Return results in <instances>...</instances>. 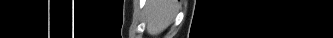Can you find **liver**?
Instances as JSON below:
<instances>
[{"label":"liver","mask_w":333,"mask_h":38,"mask_svg":"<svg viewBox=\"0 0 333 38\" xmlns=\"http://www.w3.org/2000/svg\"><path fill=\"white\" fill-rule=\"evenodd\" d=\"M174 9L172 0H151L149 3L147 32L150 35H156L164 30L170 23Z\"/></svg>","instance_id":"liver-1"}]
</instances>
